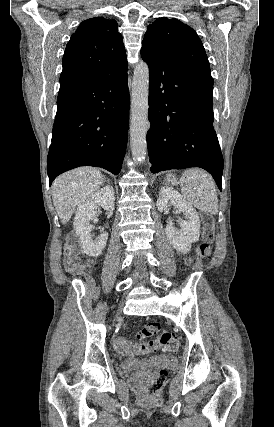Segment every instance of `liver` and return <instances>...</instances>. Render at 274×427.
I'll use <instances>...</instances> for the list:
<instances>
[{"label": "liver", "instance_id": "1", "mask_svg": "<svg viewBox=\"0 0 274 427\" xmlns=\"http://www.w3.org/2000/svg\"><path fill=\"white\" fill-rule=\"evenodd\" d=\"M102 184L104 176L96 168H76L58 176L51 190L52 200L62 223H67L77 206H83Z\"/></svg>", "mask_w": 274, "mask_h": 427}]
</instances>
